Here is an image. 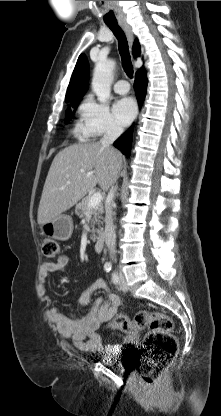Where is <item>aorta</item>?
<instances>
[{
	"mask_svg": "<svg viewBox=\"0 0 221 416\" xmlns=\"http://www.w3.org/2000/svg\"><path fill=\"white\" fill-rule=\"evenodd\" d=\"M114 68L115 62L113 60L99 61L94 68L92 90L102 103L107 102L110 97Z\"/></svg>",
	"mask_w": 221,
	"mask_h": 416,
	"instance_id": "1",
	"label": "aorta"
}]
</instances>
